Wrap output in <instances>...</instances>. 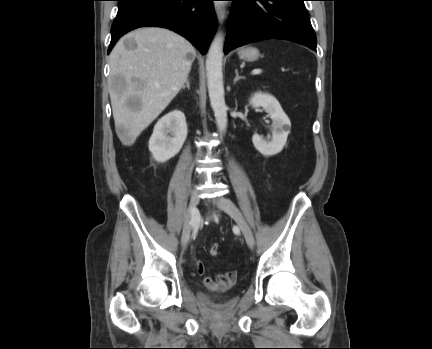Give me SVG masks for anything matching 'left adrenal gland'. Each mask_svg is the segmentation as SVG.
Returning a JSON list of instances; mask_svg holds the SVG:
<instances>
[{
	"label": "left adrenal gland",
	"mask_w": 432,
	"mask_h": 349,
	"mask_svg": "<svg viewBox=\"0 0 432 349\" xmlns=\"http://www.w3.org/2000/svg\"><path fill=\"white\" fill-rule=\"evenodd\" d=\"M236 77L234 78V84H236L240 79H244V77L239 76L238 70H235Z\"/></svg>",
	"instance_id": "left-adrenal-gland-1"
}]
</instances>
